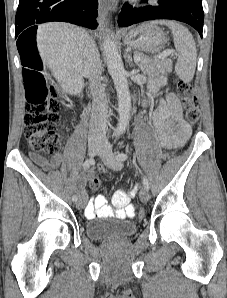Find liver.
<instances>
[{"label": "liver", "instance_id": "liver-1", "mask_svg": "<svg viewBox=\"0 0 227 298\" xmlns=\"http://www.w3.org/2000/svg\"><path fill=\"white\" fill-rule=\"evenodd\" d=\"M88 39L86 31L68 23L38 27L36 40L42 61L66 94L78 95L84 88L83 54Z\"/></svg>", "mask_w": 227, "mask_h": 298}]
</instances>
